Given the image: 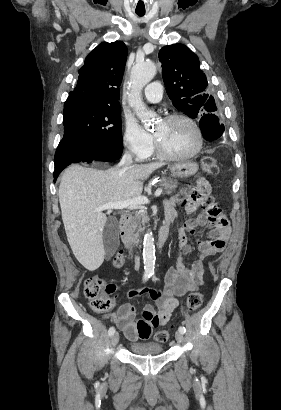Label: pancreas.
Wrapping results in <instances>:
<instances>
[{"mask_svg": "<svg viewBox=\"0 0 281 410\" xmlns=\"http://www.w3.org/2000/svg\"><path fill=\"white\" fill-rule=\"evenodd\" d=\"M177 181L171 178H162L158 186L164 189L167 195L172 194L177 188ZM149 222V217L145 208L136 211L134 214H128L127 233L131 236H138L143 231V227Z\"/></svg>", "mask_w": 281, "mask_h": 410, "instance_id": "1", "label": "pancreas"}]
</instances>
